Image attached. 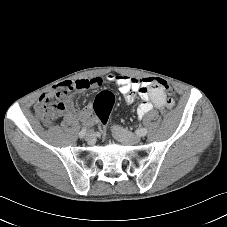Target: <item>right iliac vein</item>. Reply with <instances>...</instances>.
<instances>
[{"label":"right iliac vein","mask_w":227,"mask_h":227,"mask_svg":"<svg viewBox=\"0 0 227 227\" xmlns=\"http://www.w3.org/2000/svg\"><path fill=\"white\" fill-rule=\"evenodd\" d=\"M85 140L88 142V143H92L94 141V134L92 131H88L86 136H85Z\"/></svg>","instance_id":"63e3f726"}]
</instances>
